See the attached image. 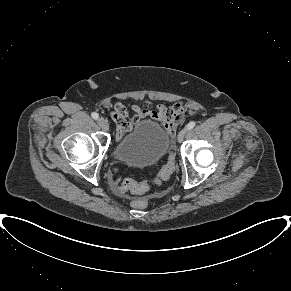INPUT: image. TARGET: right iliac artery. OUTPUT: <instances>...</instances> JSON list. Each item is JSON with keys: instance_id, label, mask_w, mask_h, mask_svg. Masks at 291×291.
<instances>
[{"instance_id": "obj_1", "label": "right iliac artery", "mask_w": 291, "mask_h": 291, "mask_svg": "<svg viewBox=\"0 0 291 291\" xmlns=\"http://www.w3.org/2000/svg\"><path fill=\"white\" fill-rule=\"evenodd\" d=\"M91 116H92V118L95 119V120H97V119L99 118V115H98V113H96V112H93V113L91 114Z\"/></svg>"}]
</instances>
